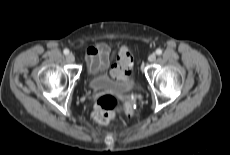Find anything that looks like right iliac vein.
<instances>
[{
	"mask_svg": "<svg viewBox=\"0 0 230 155\" xmlns=\"http://www.w3.org/2000/svg\"><path fill=\"white\" fill-rule=\"evenodd\" d=\"M66 60L70 63L74 62L75 56L72 53L67 54Z\"/></svg>",
	"mask_w": 230,
	"mask_h": 155,
	"instance_id": "63e3f726",
	"label": "right iliac vein"
}]
</instances>
